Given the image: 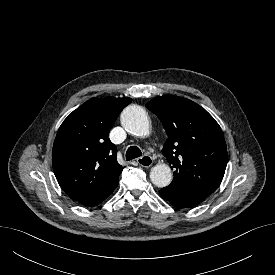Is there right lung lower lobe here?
Masks as SVG:
<instances>
[{
  "label": "right lung lower lobe",
  "instance_id": "right-lung-lower-lobe-1",
  "mask_svg": "<svg viewBox=\"0 0 275 275\" xmlns=\"http://www.w3.org/2000/svg\"><path fill=\"white\" fill-rule=\"evenodd\" d=\"M113 190L106 193V194H103V195H100V196H95V197H90V198H87V199L80 200L78 202L83 204V205L89 206V207L96 206L99 203H101L103 200H105L113 192Z\"/></svg>",
  "mask_w": 275,
  "mask_h": 275
}]
</instances>
